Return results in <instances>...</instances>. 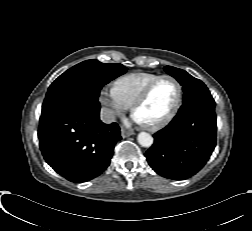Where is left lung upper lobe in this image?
Wrapping results in <instances>:
<instances>
[{
	"mask_svg": "<svg viewBox=\"0 0 252 231\" xmlns=\"http://www.w3.org/2000/svg\"><path fill=\"white\" fill-rule=\"evenodd\" d=\"M164 70L176 78L178 82L183 86L184 101H189L195 98H209L212 97L206 85L192 77L186 71L178 69L172 66H165Z\"/></svg>",
	"mask_w": 252,
	"mask_h": 231,
	"instance_id": "left-lung-upper-lobe-1",
	"label": "left lung upper lobe"
}]
</instances>
